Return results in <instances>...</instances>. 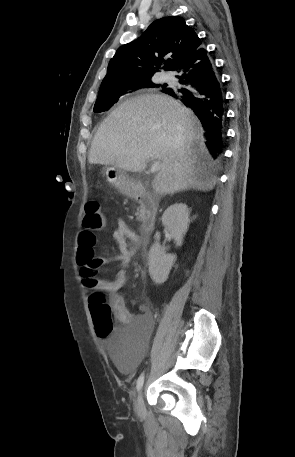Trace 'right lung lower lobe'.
Masks as SVG:
<instances>
[{
	"label": "right lung lower lobe",
	"mask_w": 295,
	"mask_h": 457,
	"mask_svg": "<svg viewBox=\"0 0 295 457\" xmlns=\"http://www.w3.org/2000/svg\"><path fill=\"white\" fill-rule=\"evenodd\" d=\"M183 87L163 90L193 109L206 130V144L216 158L223 151L224 97L208 52L203 48L185 57L174 69Z\"/></svg>",
	"instance_id": "right-lung-lower-lobe-1"
}]
</instances>
